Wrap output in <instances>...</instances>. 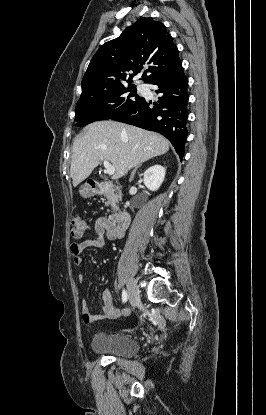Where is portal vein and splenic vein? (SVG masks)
<instances>
[{"instance_id": "obj_1", "label": "portal vein and splenic vein", "mask_w": 266, "mask_h": 415, "mask_svg": "<svg viewBox=\"0 0 266 415\" xmlns=\"http://www.w3.org/2000/svg\"><path fill=\"white\" fill-rule=\"evenodd\" d=\"M103 164H104L106 173L108 175H114L115 168L108 161H104Z\"/></svg>"}]
</instances>
